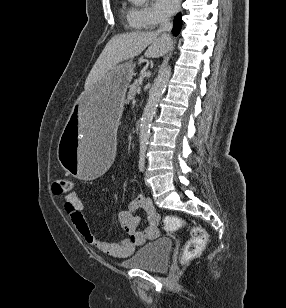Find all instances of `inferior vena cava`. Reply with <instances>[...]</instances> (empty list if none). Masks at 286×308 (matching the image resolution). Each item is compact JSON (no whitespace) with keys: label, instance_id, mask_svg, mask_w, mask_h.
Here are the masks:
<instances>
[{"label":"inferior vena cava","instance_id":"1","mask_svg":"<svg viewBox=\"0 0 286 308\" xmlns=\"http://www.w3.org/2000/svg\"><path fill=\"white\" fill-rule=\"evenodd\" d=\"M172 28L173 24L169 21V19L163 18L160 23V28L157 32L163 36L170 37L169 33L171 32Z\"/></svg>","mask_w":286,"mask_h":308}]
</instances>
